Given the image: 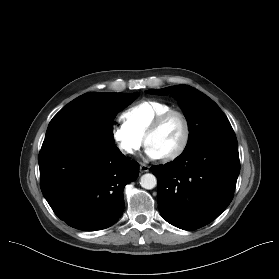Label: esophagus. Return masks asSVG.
<instances>
[{"mask_svg": "<svg viewBox=\"0 0 279 279\" xmlns=\"http://www.w3.org/2000/svg\"><path fill=\"white\" fill-rule=\"evenodd\" d=\"M148 171H149V166L146 165L145 163H141L140 164V172L145 173V172H148Z\"/></svg>", "mask_w": 279, "mask_h": 279, "instance_id": "34e87169", "label": "esophagus"}]
</instances>
